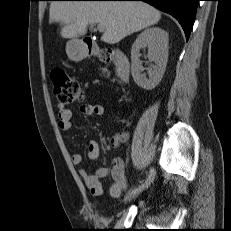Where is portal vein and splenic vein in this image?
<instances>
[{
  "label": "portal vein and splenic vein",
  "mask_w": 231,
  "mask_h": 231,
  "mask_svg": "<svg viewBox=\"0 0 231 231\" xmlns=\"http://www.w3.org/2000/svg\"><path fill=\"white\" fill-rule=\"evenodd\" d=\"M97 28L100 32H103L105 29H104V26L102 24H99L97 25Z\"/></svg>",
  "instance_id": "18ae733b"
}]
</instances>
